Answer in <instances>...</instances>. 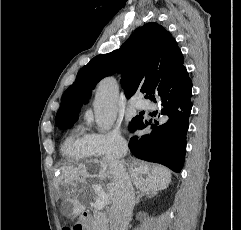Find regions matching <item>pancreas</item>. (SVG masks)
Masks as SVG:
<instances>
[{
    "mask_svg": "<svg viewBox=\"0 0 241 230\" xmlns=\"http://www.w3.org/2000/svg\"><path fill=\"white\" fill-rule=\"evenodd\" d=\"M90 230H107L108 223L105 215L100 212L94 213V218L89 222Z\"/></svg>",
    "mask_w": 241,
    "mask_h": 230,
    "instance_id": "pancreas-1",
    "label": "pancreas"
}]
</instances>
